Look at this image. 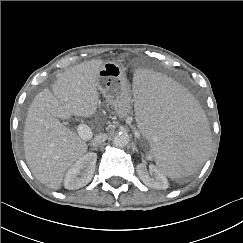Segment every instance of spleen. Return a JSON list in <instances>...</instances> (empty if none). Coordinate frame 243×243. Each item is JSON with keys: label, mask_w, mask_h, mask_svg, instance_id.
<instances>
[{"label": "spleen", "mask_w": 243, "mask_h": 243, "mask_svg": "<svg viewBox=\"0 0 243 243\" xmlns=\"http://www.w3.org/2000/svg\"><path fill=\"white\" fill-rule=\"evenodd\" d=\"M130 106L137 132L163 175L172 179L190 175L204 162L209 143L204 111L176 79L148 67L138 69Z\"/></svg>", "instance_id": "spleen-1"}]
</instances>
